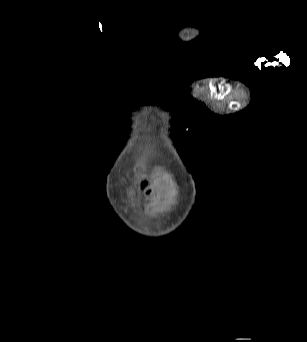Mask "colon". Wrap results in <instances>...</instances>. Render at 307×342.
Segmentation results:
<instances>
[{"label":"colon","mask_w":307,"mask_h":342,"mask_svg":"<svg viewBox=\"0 0 307 342\" xmlns=\"http://www.w3.org/2000/svg\"><path fill=\"white\" fill-rule=\"evenodd\" d=\"M145 201L147 202V207H148V202H149V201H148V200H145Z\"/></svg>","instance_id":"colon-1"}]
</instances>
